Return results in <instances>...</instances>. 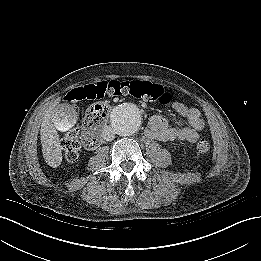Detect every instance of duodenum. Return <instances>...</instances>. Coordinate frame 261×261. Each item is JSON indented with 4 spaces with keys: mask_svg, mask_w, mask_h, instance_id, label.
Here are the masks:
<instances>
[{
    "mask_svg": "<svg viewBox=\"0 0 261 261\" xmlns=\"http://www.w3.org/2000/svg\"><path fill=\"white\" fill-rule=\"evenodd\" d=\"M106 129H107V127L104 128V130H106ZM100 141H102V138H100Z\"/></svg>",
    "mask_w": 261,
    "mask_h": 261,
    "instance_id": "duodenum-1",
    "label": "duodenum"
}]
</instances>
